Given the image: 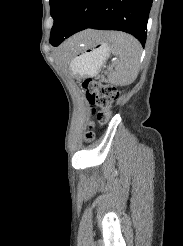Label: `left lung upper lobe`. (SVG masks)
<instances>
[{
    "label": "left lung upper lobe",
    "mask_w": 183,
    "mask_h": 246,
    "mask_svg": "<svg viewBox=\"0 0 183 246\" xmlns=\"http://www.w3.org/2000/svg\"><path fill=\"white\" fill-rule=\"evenodd\" d=\"M78 0H50V13L54 19L50 39L55 37L67 21Z\"/></svg>",
    "instance_id": "left-lung-upper-lobe-1"
}]
</instances>
